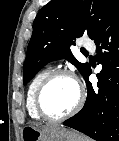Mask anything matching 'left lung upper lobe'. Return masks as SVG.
I'll return each mask as SVG.
<instances>
[{"mask_svg": "<svg viewBox=\"0 0 119 141\" xmlns=\"http://www.w3.org/2000/svg\"><path fill=\"white\" fill-rule=\"evenodd\" d=\"M119 8V0H51L37 14L23 66L27 84L48 62L65 58L82 76L90 66L80 63L70 50L74 40L87 34L92 38Z\"/></svg>", "mask_w": 119, "mask_h": 141, "instance_id": "obj_1", "label": "left lung upper lobe"}]
</instances>
